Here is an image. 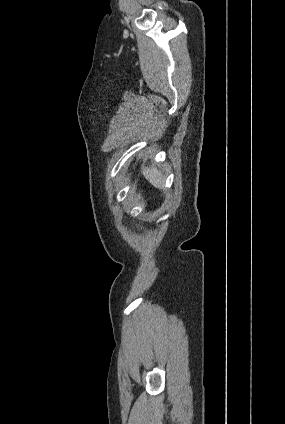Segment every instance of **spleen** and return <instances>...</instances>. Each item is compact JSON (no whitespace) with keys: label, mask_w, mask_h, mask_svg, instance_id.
Listing matches in <instances>:
<instances>
[{"label":"spleen","mask_w":285,"mask_h":424,"mask_svg":"<svg viewBox=\"0 0 285 424\" xmlns=\"http://www.w3.org/2000/svg\"><path fill=\"white\" fill-rule=\"evenodd\" d=\"M142 174L156 188L162 189L165 182V177L161 171L155 167L143 168Z\"/></svg>","instance_id":"obj_1"}]
</instances>
